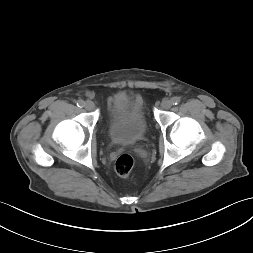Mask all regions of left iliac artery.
<instances>
[{
    "label": "left iliac artery",
    "instance_id": "obj_1",
    "mask_svg": "<svg viewBox=\"0 0 253 253\" xmlns=\"http://www.w3.org/2000/svg\"><path fill=\"white\" fill-rule=\"evenodd\" d=\"M170 101H171V104L177 105V104L180 103V98L179 97H173V98H171Z\"/></svg>",
    "mask_w": 253,
    "mask_h": 253
}]
</instances>
